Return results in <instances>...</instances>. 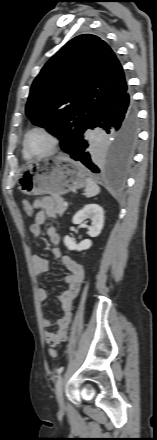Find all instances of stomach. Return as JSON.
Listing matches in <instances>:
<instances>
[{
  "instance_id": "1",
  "label": "stomach",
  "mask_w": 157,
  "mask_h": 440,
  "mask_svg": "<svg viewBox=\"0 0 157 440\" xmlns=\"http://www.w3.org/2000/svg\"><path fill=\"white\" fill-rule=\"evenodd\" d=\"M85 185V168L66 155L29 163L18 179V189L26 195L49 194L59 197Z\"/></svg>"
}]
</instances>
